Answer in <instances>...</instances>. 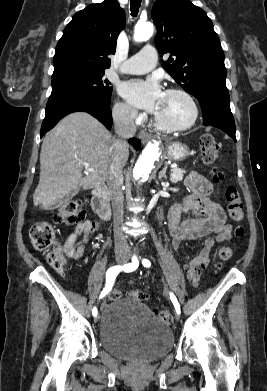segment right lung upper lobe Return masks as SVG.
Here are the masks:
<instances>
[{
  "instance_id": "obj_1",
  "label": "right lung upper lobe",
  "mask_w": 267,
  "mask_h": 391,
  "mask_svg": "<svg viewBox=\"0 0 267 391\" xmlns=\"http://www.w3.org/2000/svg\"><path fill=\"white\" fill-rule=\"evenodd\" d=\"M124 26V11L115 0L89 5L74 14L56 46L52 76L109 68L107 56L115 53Z\"/></svg>"
}]
</instances>
